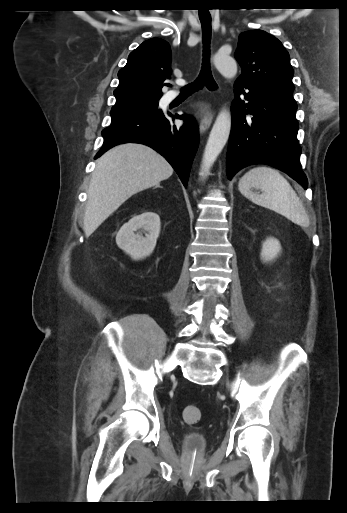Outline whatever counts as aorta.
<instances>
[{"mask_svg": "<svg viewBox=\"0 0 347 513\" xmlns=\"http://www.w3.org/2000/svg\"><path fill=\"white\" fill-rule=\"evenodd\" d=\"M216 69L226 79H233L237 74L235 59L227 54L218 52L213 57ZM231 131V113L227 109L218 114L210 132L200 169V176L205 179L210 174V169L228 141Z\"/></svg>", "mask_w": 347, "mask_h": 513, "instance_id": "1", "label": "aorta"}]
</instances>
